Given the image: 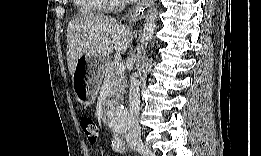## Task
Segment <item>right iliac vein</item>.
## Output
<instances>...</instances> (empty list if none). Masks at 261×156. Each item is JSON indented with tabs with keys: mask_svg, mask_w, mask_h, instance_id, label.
<instances>
[{
	"mask_svg": "<svg viewBox=\"0 0 261 156\" xmlns=\"http://www.w3.org/2000/svg\"><path fill=\"white\" fill-rule=\"evenodd\" d=\"M132 147L136 149L141 155L154 156V153L142 143H134Z\"/></svg>",
	"mask_w": 261,
	"mask_h": 156,
	"instance_id": "1",
	"label": "right iliac vein"
}]
</instances>
